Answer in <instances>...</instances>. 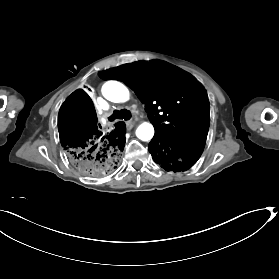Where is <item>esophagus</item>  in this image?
<instances>
[{
    "instance_id": "1",
    "label": "esophagus",
    "mask_w": 279,
    "mask_h": 279,
    "mask_svg": "<svg viewBox=\"0 0 279 279\" xmlns=\"http://www.w3.org/2000/svg\"><path fill=\"white\" fill-rule=\"evenodd\" d=\"M135 125L134 121H127L126 122V128L127 130H131L133 128V126Z\"/></svg>"
}]
</instances>
